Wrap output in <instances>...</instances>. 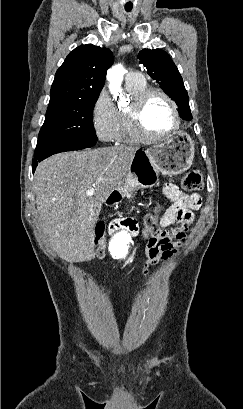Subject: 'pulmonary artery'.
Segmentation results:
<instances>
[{
    "label": "pulmonary artery",
    "mask_w": 243,
    "mask_h": 409,
    "mask_svg": "<svg viewBox=\"0 0 243 409\" xmlns=\"http://www.w3.org/2000/svg\"><path fill=\"white\" fill-rule=\"evenodd\" d=\"M144 81L143 75L138 72H129L126 75V82L127 83H141Z\"/></svg>",
    "instance_id": "obj_1"
}]
</instances>
